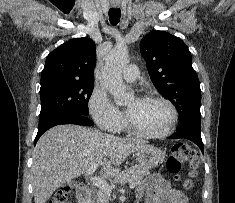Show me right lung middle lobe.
Returning a JSON list of instances; mask_svg holds the SVG:
<instances>
[{"label":"right lung middle lobe","instance_id":"dd1d6c3e","mask_svg":"<svg viewBox=\"0 0 235 203\" xmlns=\"http://www.w3.org/2000/svg\"><path fill=\"white\" fill-rule=\"evenodd\" d=\"M93 86V81H61L41 86L39 119L61 112L87 116Z\"/></svg>","mask_w":235,"mask_h":203}]
</instances>
